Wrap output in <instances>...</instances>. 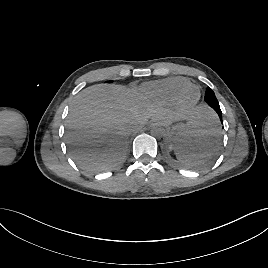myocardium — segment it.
<instances>
[{
  "label": "myocardium",
  "mask_w": 268,
  "mask_h": 268,
  "mask_svg": "<svg viewBox=\"0 0 268 268\" xmlns=\"http://www.w3.org/2000/svg\"><path fill=\"white\" fill-rule=\"evenodd\" d=\"M191 90L197 91V97L193 101L188 102L186 100V96ZM199 99H200V91L194 85H190L182 89L175 98L177 105L183 110H188V109L193 108L198 103Z\"/></svg>",
  "instance_id": "1"
}]
</instances>
